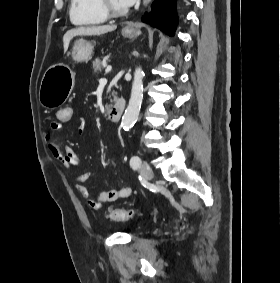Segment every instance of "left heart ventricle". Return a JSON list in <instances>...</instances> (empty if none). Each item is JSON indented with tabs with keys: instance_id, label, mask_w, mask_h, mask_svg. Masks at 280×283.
<instances>
[{
	"instance_id": "b2bd125f",
	"label": "left heart ventricle",
	"mask_w": 280,
	"mask_h": 283,
	"mask_svg": "<svg viewBox=\"0 0 280 283\" xmlns=\"http://www.w3.org/2000/svg\"><path fill=\"white\" fill-rule=\"evenodd\" d=\"M109 3L113 8L117 10H123L127 8V6L123 4L122 0H109Z\"/></svg>"
}]
</instances>
